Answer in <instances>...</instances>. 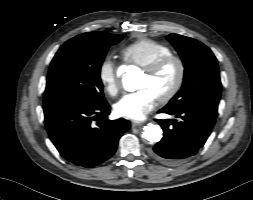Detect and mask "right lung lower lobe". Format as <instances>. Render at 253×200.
<instances>
[{"label":"right lung lower lobe","mask_w":253,"mask_h":200,"mask_svg":"<svg viewBox=\"0 0 253 200\" xmlns=\"http://www.w3.org/2000/svg\"><path fill=\"white\" fill-rule=\"evenodd\" d=\"M43 110L53 144L66 160L81 167L91 168L108 160L130 128L128 121L107 118L110 105L106 101L95 106L47 104Z\"/></svg>","instance_id":"1"}]
</instances>
